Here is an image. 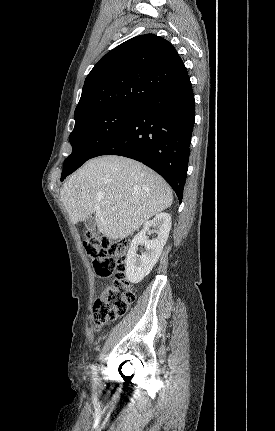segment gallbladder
<instances>
[{"mask_svg":"<svg viewBox=\"0 0 275 431\" xmlns=\"http://www.w3.org/2000/svg\"><path fill=\"white\" fill-rule=\"evenodd\" d=\"M84 225L85 228L90 231V232H95V228H96V221L94 216H89L88 218H86L84 220Z\"/></svg>","mask_w":275,"mask_h":431,"instance_id":"1","label":"gallbladder"}]
</instances>
